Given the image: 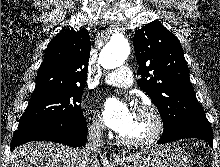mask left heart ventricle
Wrapping results in <instances>:
<instances>
[{
    "instance_id": "b2bd125f",
    "label": "left heart ventricle",
    "mask_w": 220,
    "mask_h": 167,
    "mask_svg": "<svg viewBox=\"0 0 220 167\" xmlns=\"http://www.w3.org/2000/svg\"><path fill=\"white\" fill-rule=\"evenodd\" d=\"M153 128V117L149 113L139 112L135 109L129 126L120 135L126 139L138 140L148 136Z\"/></svg>"
}]
</instances>
